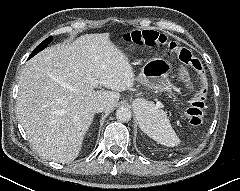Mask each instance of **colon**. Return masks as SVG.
I'll return each mask as SVG.
<instances>
[{"label": "colon", "instance_id": "1", "mask_svg": "<svg viewBox=\"0 0 240 191\" xmlns=\"http://www.w3.org/2000/svg\"><path fill=\"white\" fill-rule=\"evenodd\" d=\"M124 40L132 45L146 47H162L171 54L189 65L198 75L199 88L195 98L185 110L188 121L193 125L202 124L205 117L208 81L205 69L198 57L191 50L179 46L175 41L169 40L164 34L153 30L133 31L127 33Z\"/></svg>", "mask_w": 240, "mask_h": 191}]
</instances>
